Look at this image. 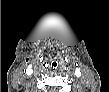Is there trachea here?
I'll return each instance as SVG.
<instances>
[{"label": "trachea", "mask_w": 109, "mask_h": 92, "mask_svg": "<svg viewBox=\"0 0 109 92\" xmlns=\"http://www.w3.org/2000/svg\"><path fill=\"white\" fill-rule=\"evenodd\" d=\"M52 66H54V67H55V66H56V64H55V63H52Z\"/></svg>", "instance_id": "3493384b"}]
</instances>
